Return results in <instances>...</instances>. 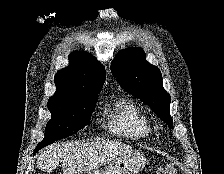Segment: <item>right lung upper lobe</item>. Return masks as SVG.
Segmentation results:
<instances>
[{
  "label": "right lung upper lobe",
  "instance_id": "1",
  "mask_svg": "<svg viewBox=\"0 0 224 174\" xmlns=\"http://www.w3.org/2000/svg\"><path fill=\"white\" fill-rule=\"evenodd\" d=\"M106 72L89 53L76 51L69 55V66L55 75L57 90L48 103L73 102L97 98L105 82Z\"/></svg>",
  "mask_w": 224,
  "mask_h": 174
}]
</instances>
